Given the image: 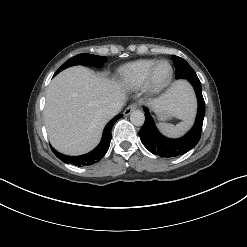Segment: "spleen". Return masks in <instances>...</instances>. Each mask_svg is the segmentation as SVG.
I'll list each match as a JSON object with an SVG mask.
<instances>
[{
  "label": "spleen",
  "mask_w": 247,
  "mask_h": 247,
  "mask_svg": "<svg viewBox=\"0 0 247 247\" xmlns=\"http://www.w3.org/2000/svg\"><path fill=\"white\" fill-rule=\"evenodd\" d=\"M191 123L189 121L180 122L177 125L161 123L158 125V128L169 137H180L185 134V132L189 129Z\"/></svg>",
  "instance_id": "obj_1"
}]
</instances>
